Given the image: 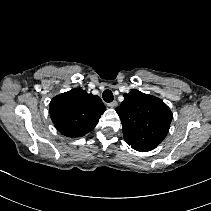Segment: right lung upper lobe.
<instances>
[{
    "mask_svg": "<svg viewBox=\"0 0 211 211\" xmlns=\"http://www.w3.org/2000/svg\"><path fill=\"white\" fill-rule=\"evenodd\" d=\"M106 108L101 99L75 88L61 93L50 102V117L63 135L77 138L91 131Z\"/></svg>",
    "mask_w": 211,
    "mask_h": 211,
    "instance_id": "obj_1",
    "label": "right lung upper lobe"
}]
</instances>
